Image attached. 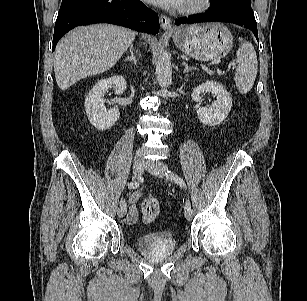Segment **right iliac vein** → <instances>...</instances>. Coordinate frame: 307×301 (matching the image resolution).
Returning <instances> with one entry per match:
<instances>
[{
  "instance_id": "63e3f726",
  "label": "right iliac vein",
  "mask_w": 307,
  "mask_h": 301,
  "mask_svg": "<svg viewBox=\"0 0 307 301\" xmlns=\"http://www.w3.org/2000/svg\"><path fill=\"white\" fill-rule=\"evenodd\" d=\"M144 168V160L141 157L135 158L133 161V174L136 179L141 178ZM117 214L119 218L124 217L126 214V207H120Z\"/></svg>"
}]
</instances>
